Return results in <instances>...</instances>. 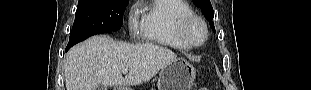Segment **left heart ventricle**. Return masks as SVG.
Returning a JSON list of instances; mask_svg holds the SVG:
<instances>
[{"label":"left heart ventricle","instance_id":"left-heart-ventricle-1","mask_svg":"<svg viewBox=\"0 0 311 90\" xmlns=\"http://www.w3.org/2000/svg\"><path fill=\"white\" fill-rule=\"evenodd\" d=\"M202 29L200 26L195 25L192 29H191V36L193 37V39L195 40H200L202 38Z\"/></svg>","mask_w":311,"mask_h":90}]
</instances>
